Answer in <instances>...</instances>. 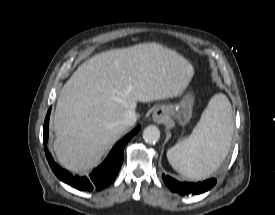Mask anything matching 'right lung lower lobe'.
Wrapping results in <instances>:
<instances>
[{"label": "right lung lower lobe", "instance_id": "obj_1", "mask_svg": "<svg viewBox=\"0 0 275 215\" xmlns=\"http://www.w3.org/2000/svg\"><path fill=\"white\" fill-rule=\"evenodd\" d=\"M50 109L47 113L44 122V142L48 139V124H49ZM140 126H137L133 131L126 135L121 141H119L111 150L105 161L96 169H94L91 174L86 177H80L78 175L73 176L67 170L59 167L51 157L50 153L46 149V156L50 164L51 169L55 175L64 183L71 185L72 187L83 190V191H93L101 190L108 186L114 181L117 176L122 162H123V150L128 141L139 131Z\"/></svg>", "mask_w": 275, "mask_h": 215}]
</instances>
